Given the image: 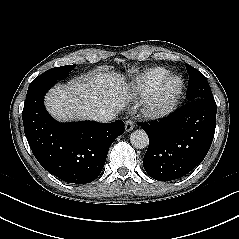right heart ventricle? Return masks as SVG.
<instances>
[{
    "label": "right heart ventricle",
    "instance_id": "e07e8e85",
    "mask_svg": "<svg viewBox=\"0 0 239 239\" xmlns=\"http://www.w3.org/2000/svg\"><path fill=\"white\" fill-rule=\"evenodd\" d=\"M170 75V71L162 67L149 68L136 76L131 84L136 97L146 96L160 81Z\"/></svg>",
    "mask_w": 239,
    "mask_h": 239
}]
</instances>
